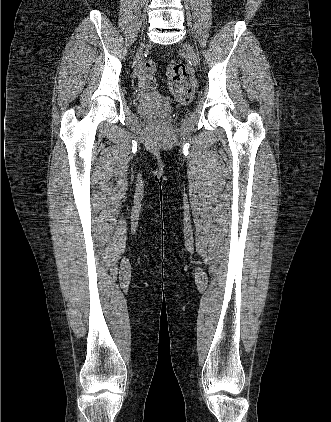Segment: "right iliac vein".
I'll use <instances>...</instances> for the list:
<instances>
[{"label":"right iliac vein","mask_w":331,"mask_h":422,"mask_svg":"<svg viewBox=\"0 0 331 422\" xmlns=\"http://www.w3.org/2000/svg\"><path fill=\"white\" fill-rule=\"evenodd\" d=\"M141 55H142V49H140V50L138 51V53L136 54V57H135V62H137V61L140 59Z\"/></svg>","instance_id":"63e3f726"}]
</instances>
